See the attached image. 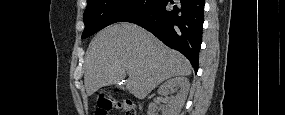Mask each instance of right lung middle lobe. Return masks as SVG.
<instances>
[{
  "label": "right lung middle lobe",
  "mask_w": 285,
  "mask_h": 115,
  "mask_svg": "<svg viewBox=\"0 0 285 115\" xmlns=\"http://www.w3.org/2000/svg\"><path fill=\"white\" fill-rule=\"evenodd\" d=\"M156 0H88L84 12L85 39L102 28L122 22L130 15L145 9Z\"/></svg>",
  "instance_id": "obj_1"
}]
</instances>
